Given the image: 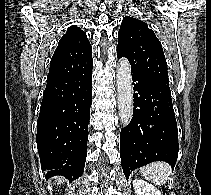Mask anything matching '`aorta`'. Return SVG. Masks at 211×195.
Returning <instances> with one entry per match:
<instances>
[{
	"label": "aorta",
	"mask_w": 211,
	"mask_h": 195,
	"mask_svg": "<svg viewBox=\"0 0 211 195\" xmlns=\"http://www.w3.org/2000/svg\"><path fill=\"white\" fill-rule=\"evenodd\" d=\"M117 92L120 121L126 126L133 115L131 66L127 58H121L117 65Z\"/></svg>",
	"instance_id": "762f6f07"
}]
</instances>
